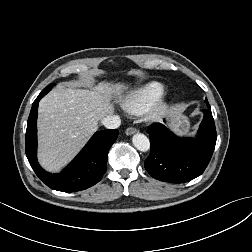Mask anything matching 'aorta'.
<instances>
[{
    "mask_svg": "<svg viewBox=\"0 0 252 252\" xmlns=\"http://www.w3.org/2000/svg\"><path fill=\"white\" fill-rule=\"evenodd\" d=\"M132 142L139 151L146 152L150 149V141L147 136L142 133L133 135Z\"/></svg>",
    "mask_w": 252,
    "mask_h": 252,
    "instance_id": "obj_1",
    "label": "aorta"
}]
</instances>
